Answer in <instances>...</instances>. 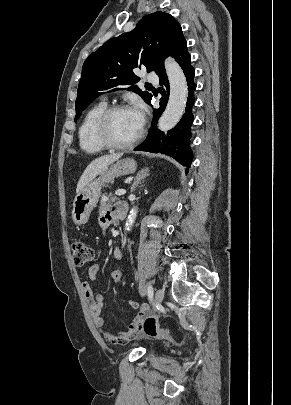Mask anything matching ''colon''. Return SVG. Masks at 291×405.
I'll return each instance as SVG.
<instances>
[{
    "label": "colon",
    "instance_id": "1",
    "mask_svg": "<svg viewBox=\"0 0 291 405\" xmlns=\"http://www.w3.org/2000/svg\"><path fill=\"white\" fill-rule=\"evenodd\" d=\"M72 259L76 267H82L91 262L94 258V249L82 240H75L71 244ZM111 280L118 284L122 281V271L119 269L110 272ZM143 331L150 337L160 338L171 341L172 334L169 329L163 328L158 324L154 316L147 317L142 323Z\"/></svg>",
    "mask_w": 291,
    "mask_h": 405
}]
</instances>
